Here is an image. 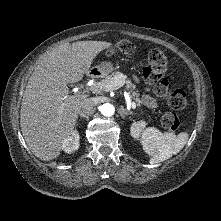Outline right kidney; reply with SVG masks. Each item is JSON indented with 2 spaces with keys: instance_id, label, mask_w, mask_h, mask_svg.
I'll list each match as a JSON object with an SVG mask.
<instances>
[{
  "instance_id": "ca27d5eb",
  "label": "right kidney",
  "mask_w": 221,
  "mask_h": 221,
  "mask_svg": "<svg viewBox=\"0 0 221 221\" xmlns=\"http://www.w3.org/2000/svg\"><path fill=\"white\" fill-rule=\"evenodd\" d=\"M79 148V134L77 131H73L70 136L65 138L62 142V149L66 153H72Z\"/></svg>"
}]
</instances>
